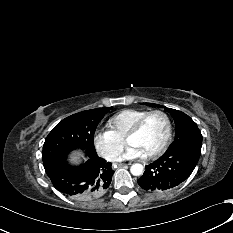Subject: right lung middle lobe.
<instances>
[{
    "label": "right lung middle lobe",
    "instance_id": "right-lung-middle-lobe-1",
    "mask_svg": "<svg viewBox=\"0 0 233 233\" xmlns=\"http://www.w3.org/2000/svg\"><path fill=\"white\" fill-rule=\"evenodd\" d=\"M112 107L91 109L73 114L59 122L47 136L43 145L44 168L64 159L74 149L86 150L88 155H96L94 132L104 115Z\"/></svg>",
    "mask_w": 233,
    "mask_h": 233
}]
</instances>
